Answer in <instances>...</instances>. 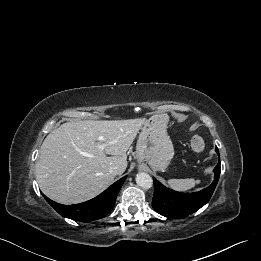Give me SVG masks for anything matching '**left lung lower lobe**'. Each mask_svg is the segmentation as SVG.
<instances>
[{
    "label": "left lung lower lobe",
    "instance_id": "0a47b994",
    "mask_svg": "<svg viewBox=\"0 0 261 261\" xmlns=\"http://www.w3.org/2000/svg\"><path fill=\"white\" fill-rule=\"evenodd\" d=\"M216 152L219 155L218 148ZM215 176L212 184L194 193H180L164 187L155 178L152 207L159 214L169 218H182L203 207L211 198L220 175V161L214 168Z\"/></svg>",
    "mask_w": 261,
    "mask_h": 261
}]
</instances>
